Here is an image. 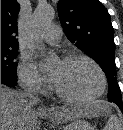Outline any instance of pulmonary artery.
<instances>
[{
  "mask_svg": "<svg viewBox=\"0 0 123 130\" xmlns=\"http://www.w3.org/2000/svg\"><path fill=\"white\" fill-rule=\"evenodd\" d=\"M44 40L49 44H57L61 39V30L58 26H50L44 33Z\"/></svg>",
  "mask_w": 123,
  "mask_h": 130,
  "instance_id": "obj_1",
  "label": "pulmonary artery"
}]
</instances>
